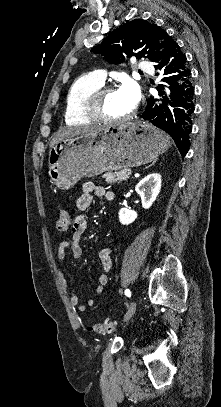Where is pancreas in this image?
<instances>
[{
	"instance_id": "pancreas-1",
	"label": "pancreas",
	"mask_w": 221,
	"mask_h": 407,
	"mask_svg": "<svg viewBox=\"0 0 221 407\" xmlns=\"http://www.w3.org/2000/svg\"><path fill=\"white\" fill-rule=\"evenodd\" d=\"M128 169H121L116 172H107L102 177L106 179L107 183H120L129 178Z\"/></svg>"
}]
</instances>
